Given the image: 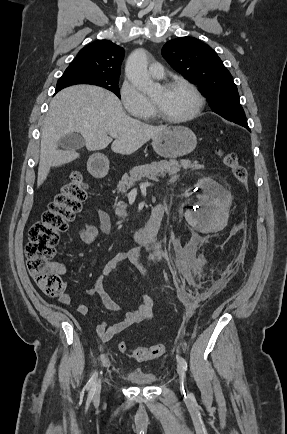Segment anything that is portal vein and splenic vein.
<instances>
[{"mask_svg":"<svg viewBox=\"0 0 287 434\" xmlns=\"http://www.w3.org/2000/svg\"><path fill=\"white\" fill-rule=\"evenodd\" d=\"M109 135H110L111 137H113V138H117V137H118V134L115 133V132H111ZM152 185H153L152 183L144 182V183H141V184H140V187H141V188H146V187H149V186H152Z\"/></svg>","mask_w":287,"mask_h":434,"instance_id":"portal-vein-and-splenic-vein-1","label":"portal vein and splenic vein"}]
</instances>
